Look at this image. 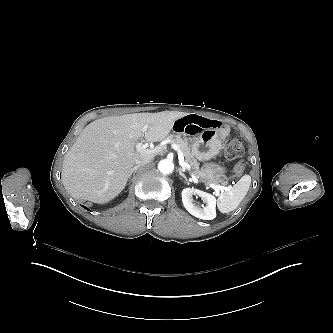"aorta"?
<instances>
[{
	"label": "aorta",
	"instance_id": "1",
	"mask_svg": "<svg viewBox=\"0 0 333 333\" xmlns=\"http://www.w3.org/2000/svg\"><path fill=\"white\" fill-rule=\"evenodd\" d=\"M158 169H159L160 173L165 174V175L172 173V171L174 170L173 161L168 160V159H164V160L160 161L158 164Z\"/></svg>",
	"mask_w": 333,
	"mask_h": 333
}]
</instances>
